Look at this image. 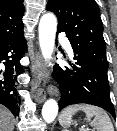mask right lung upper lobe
Returning <instances> with one entry per match:
<instances>
[{
	"label": "right lung upper lobe",
	"instance_id": "1",
	"mask_svg": "<svg viewBox=\"0 0 117 131\" xmlns=\"http://www.w3.org/2000/svg\"><path fill=\"white\" fill-rule=\"evenodd\" d=\"M23 0H0V42L23 32Z\"/></svg>",
	"mask_w": 117,
	"mask_h": 131
}]
</instances>
